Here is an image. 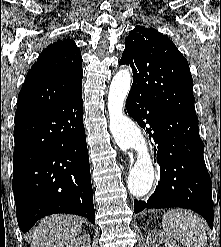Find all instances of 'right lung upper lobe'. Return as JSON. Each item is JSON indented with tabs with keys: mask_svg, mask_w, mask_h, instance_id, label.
<instances>
[{
	"mask_svg": "<svg viewBox=\"0 0 221 247\" xmlns=\"http://www.w3.org/2000/svg\"><path fill=\"white\" fill-rule=\"evenodd\" d=\"M80 49L69 38L50 44L28 71L15 115L69 101L82 93Z\"/></svg>",
	"mask_w": 221,
	"mask_h": 247,
	"instance_id": "cb5924a9",
	"label": "right lung upper lobe"
}]
</instances>
